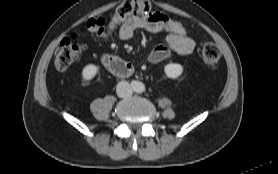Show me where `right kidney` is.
Here are the masks:
<instances>
[{"mask_svg": "<svg viewBox=\"0 0 278 174\" xmlns=\"http://www.w3.org/2000/svg\"><path fill=\"white\" fill-rule=\"evenodd\" d=\"M97 71H98V67L96 65L88 64L82 70V78L85 81H89L95 77Z\"/></svg>", "mask_w": 278, "mask_h": 174, "instance_id": "1", "label": "right kidney"}]
</instances>
